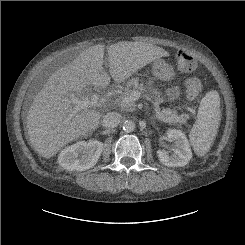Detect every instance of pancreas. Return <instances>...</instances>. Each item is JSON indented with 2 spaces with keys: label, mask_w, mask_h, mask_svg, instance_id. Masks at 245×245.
<instances>
[{
  "label": "pancreas",
  "mask_w": 245,
  "mask_h": 245,
  "mask_svg": "<svg viewBox=\"0 0 245 245\" xmlns=\"http://www.w3.org/2000/svg\"><path fill=\"white\" fill-rule=\"evenodd\" d=\"M133 91H145V86L143 83H139V78H132L126 85L124 92L121 95V99L129 96ZM164 102V99L157 96L154 102V111L155 116L158 120L169 123V124H176V123H185L189 118L188 114H181L178 115L176 110L170 108H163L161 109L159 105ZM125 110L132 111L135 109V104L133 102L124 106Z\"/></svg>",
  "instance_id": "obj_1"
}]
</instances>
